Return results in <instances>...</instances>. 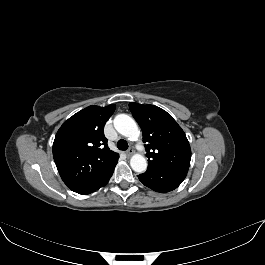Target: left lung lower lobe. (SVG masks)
<instances>
[{
  "label": "left lung lower lobe",
  "mask_w": 265,
  "mask_h": 265,
  "mask_svg": "<svg viewBox=\"0 0 265 265\" xmlns=\"http://www.w3.org/2000/svg\"><path fill=\"white\" fill-rule=\"evenodd\" d=\"M186 173L146 171L138 175L139 180L154 191L166 193L176 189L186 177Z\"/></svg>",
  "instance_id": "left-lung-lower-lobe-1"
}]
</instances>
